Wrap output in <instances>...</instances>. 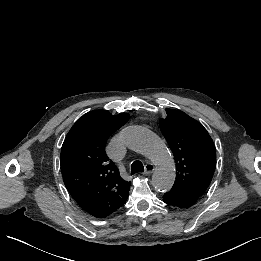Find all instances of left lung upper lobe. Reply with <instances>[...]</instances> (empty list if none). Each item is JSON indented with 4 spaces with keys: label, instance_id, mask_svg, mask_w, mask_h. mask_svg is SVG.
Returning <instances> with one entry per match:
<instances>
[{
    "label": "left lung upper lobe",
    "instance_id": "1",
    "mask_svg": "<svg viewBox=\"0 0 261 261\" xmlns=\"http://www.w3.org/2000/svg\"><path fill=\"white\" fill-rule=\"evenodd\" d=\"M160 129L176 162L177 177L173 189L197 199L209 186L216 167L214 143L207 130L180 110L167 109Z\"/></svg>",
    "mask_w": 261,
    "mask_h": 261
}]
</instances>
